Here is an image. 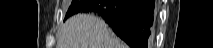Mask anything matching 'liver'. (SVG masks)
<instances>
[{
  "mask_svg": "<svg viewBox=\"0 0 213 48\" xmlns=\"http://www.w3.org/2000/svg\"><path fill=\"white\" fill-rule=\"evenodd\" d=\"M108 25L93 14H79L62 26L56 48H126Z\"/></svg>",
  "mask_w": 213,
  "mask_h": 48,
  "instance_id": "1",
  "label": "liver"
}]
</instances>
